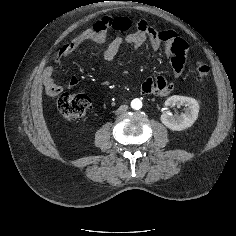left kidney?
Here are the masks:
<instances>
[{
    "instance_id": "obj_1",
    "label": "left kidney",
    "mask_w": 236,
    "mask_h": 236,
    "mask_svg": "<svg viewBox=\"0 0 236 236\" xmlns=\"http://www.w3.org/2000/svg\"><path fill=\"white\" fill-rule=\"evenodd\" d=\"M166 106H184L185 113L172 115L163 113L161 122L173 131H182L191 127L198 118L199 104L194 98L171 96L165 101Z\"/></svg>"
}]
</instances>
